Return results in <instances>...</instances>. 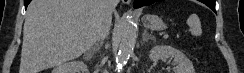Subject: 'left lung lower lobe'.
I'll return each instance as SVG.
<instances>
[{"label":"left lung lower lobe","instance_id":"left-lung-lower-lobe-1","mask_svg":"<svg viewBox=\"0 0 244 73\" xmlns=\"http://www.w3.org/2000/svg\"><path fill=\"white\" fill-rule=\"evenodd\" d=\"M160 0H135V8L147 6L154 2H158ZM202 3L208 5L213 11H215V0H200Z\"/></svg>","mask_w":244,"mask_h":73}]
</instances>
